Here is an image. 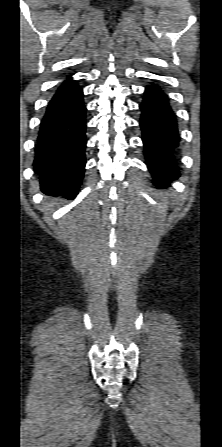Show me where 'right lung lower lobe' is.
<instances>
[{"label": "right lung lower lobe", "mask_w": 222, "mask_h": 447, "mask_svg": "<svg viewBox=\"0 0 222 447\" xmlns=\"http://www.w3.org/2000/svg\"><path fill=\"white\" fill-rule=\"evenodd\" d=\"M68 75L50 99L40 123L33 166L41 189L74 198L85 170L86 105L83 90Z\"/></svg>", "instance_id": "right-lung-lower-lobe-1"}]
</instances>
